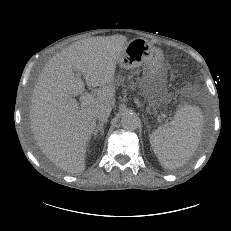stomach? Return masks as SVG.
I'll return each instance as SVG.
<instances>
[{
  "instance_id": "obj_1",
  "label": "stomach",
  "mask_w": 231,
  "mask_h": 231,
  "mask_svg": "<svg viewBox=\"0 0 231 231\" xmlns=\"http://www.w3.org/2000/svg\"><path fill=\"white\" fill-rule=\"evenodd\" d=\"M118 64L124 69L144 66L145 72L140 81L142 94L153 107H157L164 100L167 79L161 49L145 38H134L124 45Z\"/></svg>"
}]
</instances>
